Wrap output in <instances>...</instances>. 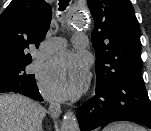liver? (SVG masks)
Here are the masks:
<instances>
[{"label":"liver","instance_id":"obj_1","mask_svg":"<svg viewBox=\"0 0 151 131\" xmlns=\"http://www.w3.org/2000/svg\"><path fill=\"white\" fill-rule=\"evenodd\" d=\"M46 109L19 94L0 95V131H42Z\"/></svg>","mask_w":151,"mask_h":131}]
</instances>
